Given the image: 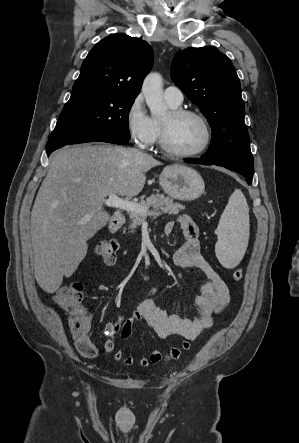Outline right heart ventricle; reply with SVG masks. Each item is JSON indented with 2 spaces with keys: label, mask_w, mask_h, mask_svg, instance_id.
<instances>
[{
  "label": "right heart ventricle",
  "mask_w": 299,
  "mask_h": 443,
  "mask_svg": "<svg viewBox=\"0 0 299 443\" xmlns=\"http://www.w3.org/2000/svg\"><path fill=\"white\" fill-rule=\"evenodd\" d=\"M168 105L172 108V109H175V108H177V106H173V105H171V104H169L168 103ZM154 121V124H155V127H156V138H155V141L158 139V137H159V130H160V127H159V124H160V122L158 121V120H153ZM154 141V142H155Z\"/></svg>",
  "instance_id": "right-heart-ventricle-1"
}]
</instances>
